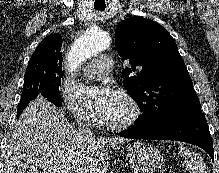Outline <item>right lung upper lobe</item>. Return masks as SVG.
Masks as SVG:
<instances>
[{"mask_svg": "<svg viewBox=\"0 0 219 173\" xmlns=\"http://www.w3.org/2000/svg\"><path fill=\"white\" fill-rule=\"evenodd\" d=\"M62 47V37L60 34H51L41 41L37 46L29 65L36 64L38 66H58L62 71V54L60 52Z\"/></svg>", "mask_w": 219, "mask_h": 173, "instance_id": "cb5924a9", "label": "right lung upper lobe"}]
</instances>
